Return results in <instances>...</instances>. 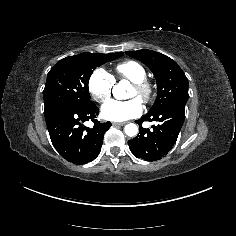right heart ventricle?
Returning <instances> with one entry per match:
<instances>
[{"mask_svg": "<svg viewBox=\"0 0 236 236\" xmlns=\"http://www.w3.org/2000/svg\"><path fill=\"white\" fill-rule=\"evenodd\" d=\"M115 72L120 81H135L145 78L146 71L137 61L126 60L116 65Z\"/></svg>", "mask_w": 236, "mask_h": 236, "instance_id": "e07e8e85", "label": "right heart ventricle"}]
</instances>
